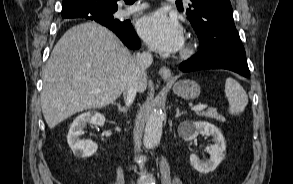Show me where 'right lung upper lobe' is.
Instances as JSON below:
<instances>
[{
    "label": "right lung upper lobe",
    "mask_w": 293,
    "mask_h": 184,
    "mask_svg": "<svg viewBox=\"0 0 293 184\" xmlns=\"http://www.w3.org/2000/svg\"><path fill=\"white\" fill-rule=\"evenodd\" d=\"M82 0H63L62 4V17L63 18H73L77 15L84 14L88 11H91L93 9H102V10H109V11H115L117 10V0H97L98 3H101L102 5L97 8L93 9H85L80 6V2Z\"/></svg>",
    "instance_id": "right-lung-upper-lobe-1"
}]
</instances>
